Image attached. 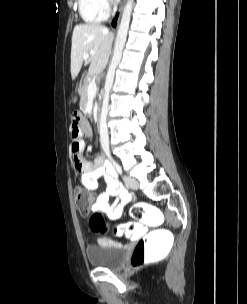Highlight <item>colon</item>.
Wrapping results in <instances>:
<instances>
[{
	"mask_svg": "<svg viewBox=\"0 0 247 304\" xmlns=\"http://www.w3.org/2000/svg\"><path fill=\"white\" fill-rule=\"evenodd\" d=\"M74 200L82 215L90 213L93 201L91 192L77 188L74 193ZM131 215L141 221V225L126 222L115 226L112 231L116 235H126L127 241H134L135 238H140L133 249L131 256L132 266L140 267L149 259H166V253H169V248H174L175 237L172 235L173 231L170 229V225H162L164 215L160 206L156 202H134ZM142 225H157V229H149V233H146L147 229ZM90 227L94 232L102 234L109 230V227L99 214L91 217Z\"/></svg>",
	"mask_w": 247,
	"mask_h": 304,
	"instance_id": "colon-1",
	"label": "colon"
}]
</instances>
